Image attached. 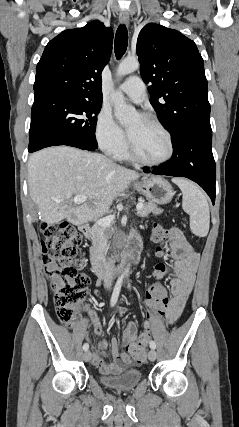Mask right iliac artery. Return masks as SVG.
<instances>
[{
	"mask_svg": "<svg viewBox=\"0 0 239 427\" xmlns=\"http://www.w3.org/2000/svg\"><path fill=\"white\" fill-rule=\"evenodd\" d=\"M122 281H123V278L120 277L117 280L116 285L114 287V290H113V293H112V297H111V301H110V304H111L112 307L116 304V302L118 300V296H119V293H120V290H121V286H122ZM88 348H89L88 343H85L83 345V350L87 351Z\"/></svg>",
	"mask_w": 239,
	"mask_h": 427,
	"instance_id": "1",
	"label": "right iliac artery"
}]
</instances>
